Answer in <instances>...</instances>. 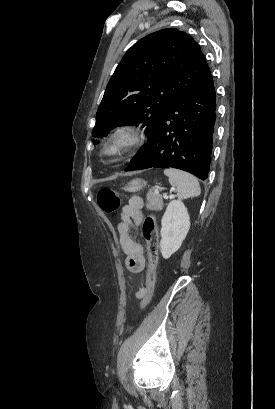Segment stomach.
Here are the masks:
<instances>
[{"mask_svg": "<svg viewBox=\"0 0 275 409\" xmlns=\"http://www.w3.org/2000/svg\"><path fill=\"white\" fill-rule=\"evenodd\" d=\"M143 184H145V182L142 178H133V180H130V182L126 184L124 190H128V192H137V190L143 188Z\"/></svg>", "mask_w": 275, "mask_h": 409, "instance_id": "obj_1", "label": "stomach"}]
</instances>
